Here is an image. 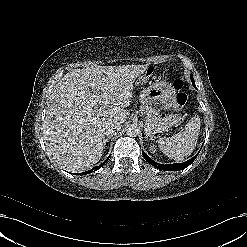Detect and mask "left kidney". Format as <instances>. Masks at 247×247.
Wrapping results in <instances>:
<instances>
[{"mask_svg":"<svg viewBox=\"0 0 247 247\" xmlns=\"http://www.w3.org/2000/svg\"><path fill=\"white\" fill-rule=\"evenodd\" d=\"M149 151L151 154H157V149L154 145H150Z\"/></svg>","mask_w":247,"mask_h":247,"instance_id":"obj_1","label":"left kidney"}]
</instances>
